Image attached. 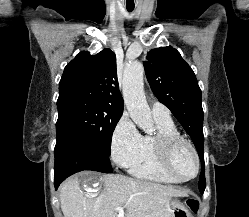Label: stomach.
<instances>
[{
    "mask_svg": "<svg viewBox=\"0 0 249 217\" xmlns=\"http://www.w3.org/2000/svg\"><path fill=\"white\" fill-rule=\"evenodd\" d=\"M169 204H170V209L172 211L171 217H175L176 216L175 214L178 212L177 209L179 207V202L177 200H170Z\"/></svg>",
    "mask_w": 249,
    "mask_h": 217,
    "instance_id": "stomach-1",
    "label": "stomach"
}]
</instances>
